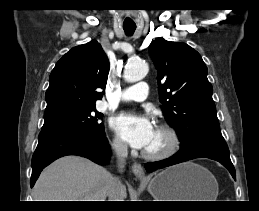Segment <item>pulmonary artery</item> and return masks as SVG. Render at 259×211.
I'll return each mask as SVG.
<instances>
[{
	"label": "pulmonary artery",
	"instance_id": "e3ab8cb5",
	"mask_svg": "<svg viewBox=\"0 0 259 211\" xmlns=\"http://www.w3.org/2000/svg\"><path fill=\"white\" fill-rule=\"evenodd\" d=\"M148 85L145 82H140L130 87L125 88L118 96L119 101L123 102H142L147 99Z\"/></svg>",
	"mask_w": 259,
	"mask_h": 211
}]
</instances>
